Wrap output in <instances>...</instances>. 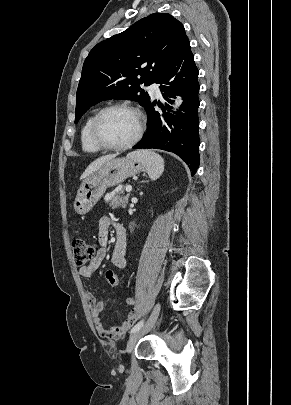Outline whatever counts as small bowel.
I'll list each match as a JSON object with an SVG mask.
<instances>
[{
	"mask_svg": "<svg viewBox=\"0 0 291 405\" xmlns=\"http://www.w3.org/2000/svg\"><path fill=\"white\" fill-rule=\"evenodd\" d=\"M113 227L115 230V244L111 255V261L114 266L124 268L126 266V232L125 229L110 216H102L99 221L98 242L101 248L92 258L89 264L79 269V274L82 277H91L93 273L100 267L106 256L105 246L108 243L109 229ZM87 301L90 305L91 316L94 321L98 334L108 340L121 338L137 319L136 301L133 298H127V305L133 307L132 312L126 320L119 326L106 328L101 321V313L104 309V303L98 301L92 293H87Z\"/></svg>",
	"mask_w": 291,
	"mask_h": 405,
	"instance_id": "1",
	"label": "small bowel"
}]
</instances>
